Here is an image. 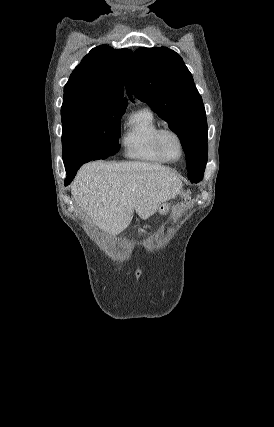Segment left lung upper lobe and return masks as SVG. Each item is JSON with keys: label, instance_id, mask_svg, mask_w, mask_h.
Masks as SVG:
<instances>
[{"label": "left lung upper lobe", "instance_id": "5c2ea615", "mask_svg": "<svg viewBox=\"0 0 274 427\" xmlns=\"http://www.w3.org/2000/svg\"><path fill=\"white\" fill-rule=\"evenodd\" d=\"M127 94L146 102L177 134L188 176H203L207 163V120L202 98L182 58L166 47L139 48L129 65Z\"/></svg>", "mask_w": 274, "mask_h": 427}]
</instances>
